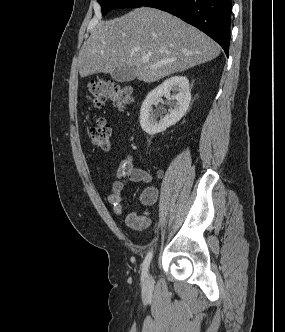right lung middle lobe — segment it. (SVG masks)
<instances>
[{"label":"right lung middle lobe","mask_w":285,"mask_h":332,"mask_svg":"<svg viewBox=\"0 0 285 332\" xmlns=\"http://www.w3.org/2000/svg\"><path fill=\"white\" fill-rule=\"evenodd\" d=\"M105 15L108 11L116 8H136L143 6L148 0H97Z\"/></svg>","instance_id":"1"}]
</instances>
